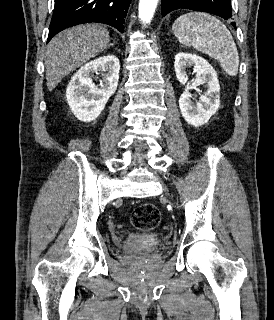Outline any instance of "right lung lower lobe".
I'll return each instance as SVG.
<instances>
[{"label": "right lung lower lobe", "mask_w": 274, "mask_h": 320, "mask_svg": "<svg viewBox=\"0 0 274 320\" xmlns=\"http://www.w3.org/2000/svg\"><path fill=\"white\" fill-rule=\"evenodd\" d=\"M131 0H55L49 42L60 31L82 23L98 22L123 32Z\"/></svg>", "instance_id": "1"}]
</instances>
